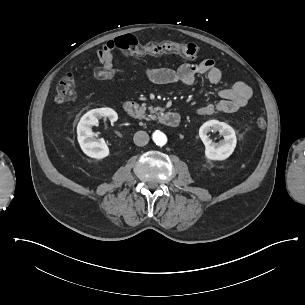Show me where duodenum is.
I'll list each match as a JSON object with an SVG mask.
<instances>
[{"instance_id": "duodenum-1", "label": "duodenum", "mask_w": 305, "mask_h": 305, "mask_svg": "<svg viewBox=\"0 0 305 305\" xmlns=\"http://www.w3.org/2000/svg\"><path fill=\"white\" fill-rule=\"evenodd\" d=\"M123 111L126 115L134 119H144L146 117V112L143 107L134 101H126L123 104ZM159 121L162 125L175 128L180 123V117L176 112L165 111L159 116Z\"/></svg>"}]
</instances>
